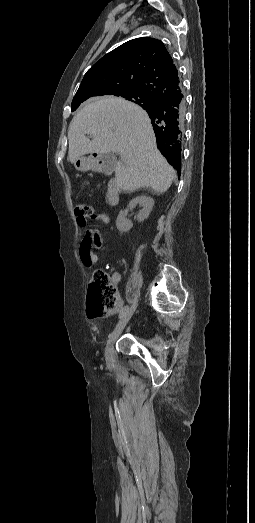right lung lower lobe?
<instances>
[{"mask_svg":"<svg viewBox=\"0 0 255 523\" xmlns=\"http://www.w3.org/2000/svg\"><path fill=\"white\" fill-rule=\"evenodd\" d=\"M179 109V102L172 101L162 103L151 111L156 130L153 133V140L164 146V152L167 155H174L181 150V142L178 139H172L180 135V126L177 118ZM180 169L177 170L179 174Z\"/></svg>","mask_w":255,"mask_h":523,"instance_id":"right-lung-lower-lobe-1","label":"right lung lower lobe"}]
</instances>
